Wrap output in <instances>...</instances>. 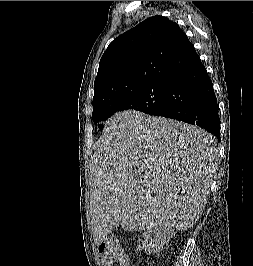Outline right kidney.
Instances as JSON below:
<instances>
[{
    "instance_id": "obj_1",
    "label": "right kidney",
    "mask_w": 253,
    "mask_h": 266,
    "mask_svg": "<svg viewBox=\"0 0 253 266\" xmlns=\"http://www.w3.org/2000/svg\"><path fill=\"white\" fill-rule=\"evenodd\" d=\"M173 235L175 232L172 226L148 228L141 234V237H138L139 246L145 252L156 253L162 250L165 244H168Z\"/></svg>"
}]
</instances>
